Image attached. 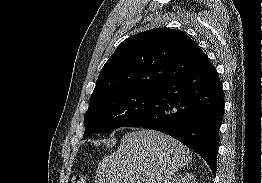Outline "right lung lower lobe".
Wrapping results in <instances>:
<instances>
[{
  "label": "right lung lower lobe",
  "mask_w": 262,
  "mask_h": 183,
  "mask_svg": "<svg viewBox=\"0 0 262 183\" xmlns=\"http://www.w3.org/2000/svg\"><path fill=\"white\" fill-rule=\"evenodd\" d=\"M223 110L222 83L208 62L162 84L149 106L125 127L154 129L176 138L199 154L215 175Z\"/></svg>",
  "instance_id": "98d812e1"
}]
</instances>
